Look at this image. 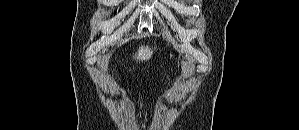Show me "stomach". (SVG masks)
Here are the masks:
<instances>
[{
  "label": "stomach",
  "mask_w": 299,
  "mask_h": 130,
  "mask_svg": "<svg viewBox=\"0 0 299 130\" xmlns=\"http://www.w3.org/2000/svg\"><path fill=\"white\" fill-rule=\"evenodd\" d=\"M169 56H170V58H173V57H174V55H173L171 52H170Z\"/></svg>",
  "instance_id": "0dacf381"
}]
</instances>
